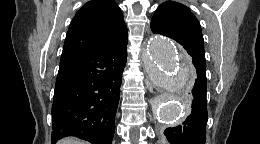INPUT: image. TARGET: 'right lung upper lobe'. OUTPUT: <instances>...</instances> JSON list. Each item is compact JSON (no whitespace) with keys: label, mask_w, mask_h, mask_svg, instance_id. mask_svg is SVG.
<instances>
[{"label":"right lung upper lobe","mask_w":260,"mask_h":144,"mask_svg":"<svg viewBox=\"0 0 260 144\" xmlns=\"http://www.w3.org/2000/svg\"><path fill=\"white\" fill-rule=\"evenodd\" d=\"M127 42L123 14L114 0H92L73 18L61 60Z\"/></svg>","instance_id":"cb5924a9"}]
</instances>
